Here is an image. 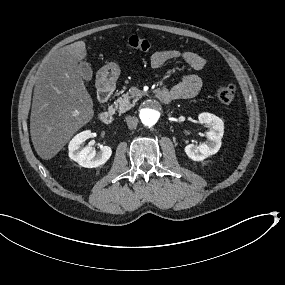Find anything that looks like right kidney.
<instances>
[{
    "label": "right kidney",
    "instance_id": "obj_1",
    "mask_svg": "<svg viewBox=\"0 0 285 285\" xmlns=\"http://www.w3.org/2000/svg\"><path fill=\"white\" fill-rule=\"evenodd\" d=\"M91 137L90 130L83 131L75 135L68 145L69 157L86 168H94L105 164L112 154V150L108 146L100 147L99 152H96L91 146L83 147V143Z\"/></svg>",
    "mask_w": 285,
    "mask_h": 285
}]
</instances>
